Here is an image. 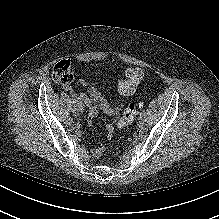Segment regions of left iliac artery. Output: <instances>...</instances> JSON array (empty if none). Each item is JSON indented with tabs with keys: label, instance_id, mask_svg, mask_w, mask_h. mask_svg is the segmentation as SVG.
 <instances>
[{
	"label": "left iliac artery",
	"instance_id": "obj_1",
	"mask_svg": "<svg viewBox=\"0 0 219 219\" xmlns=\"http://www.w3.org/2000/svg\"><path fill=\"white\" fill-rule=\"evenodd\" d=\"M141 113L145 114V111H144V110H142V111H141Z\"/></svg>",
	"mask_w": 219,
	"mask_h": 219
}]
</instances>
